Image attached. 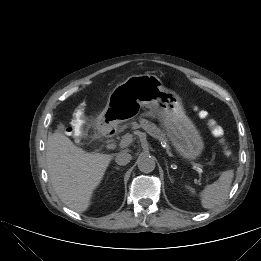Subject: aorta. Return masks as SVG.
Wrapping results in <instances>:
<instances>
[{
    "mask_svg": "<svg viewBox=\"0 0 261 261\" xmlns=\"http://www.w3.org/2000/svg\"><path fill=\"white\" fill-rule=\"evenodd\" d=\"M138 169L144 173H150L155 169V159L151 156H141L137 159Z\"/></svg>",
    "mask_w": 261,
    "mask_h": 261,
    "instance_id": "762f6f07",
    "label": "aorta"
}]
</instances>
